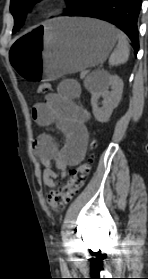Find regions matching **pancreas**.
<instances>
[{
    "mask_svg": "<svg viewBox=\"0 0 148 279\" xmlns=\"http://www.w3.org/2000/svg\"><path fill=\"white\" fill-rule=\"evenodd\" d=\"M81 79H83L85 77V75L83 74V72L80 75Z\"/></svg>",
    "mask_w": 148,
    "mask_h": 279,
    "instance_id": "1",
    "label": "pancreas"
}]
</instances>
